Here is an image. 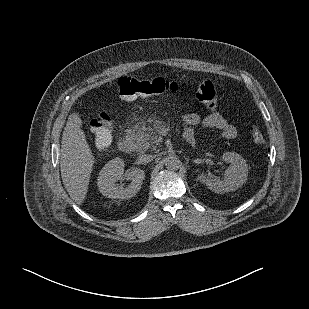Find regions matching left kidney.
<instances>
[{"instance_id":"5707ae66","label":"left kidney","mask_w":309,"mask_h":309,"mask_svg":"<svg viewBox=\"0 0 309 309\" xmlns=\"http://www.w3.org/2000/svg\"><path fill=\"white\" fill-rule=\"evenodd\" d=\"M222 160L230 163L226 169V177L220 178H206L204 173L200 174V180L203 181L208 189L216 193L234 191L241 187L248 177V165L245 159L236 152H226L222 155Z\"/></svg>"}]
</instances>
